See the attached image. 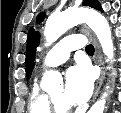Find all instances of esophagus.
<instances>
[{
	"label": "esophagus",
	"instance_id": "obj_1",
	"mask_svg": "<svg viewBox=\"0 0 121 113\" xmlns=\"http://www.w3.org/2000/svg\"><path fill=\"white\" fill-rule=\"evenodd\" d=\"M93 41H94V44H95L96 62L101 69V74H100L98 81L96 82L95 91H94V95H93V99H92V101L94 102L95 99L97 98L98 94H99V91H100V88H101V85H102V82H103V79H104V75H105V69H104L103 57H102L97 39L95 37H93Z\"/></svg>",
	"mask_w": 121,
	"mask_h": 113
}]
</instances>
